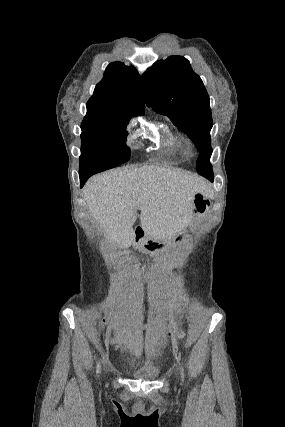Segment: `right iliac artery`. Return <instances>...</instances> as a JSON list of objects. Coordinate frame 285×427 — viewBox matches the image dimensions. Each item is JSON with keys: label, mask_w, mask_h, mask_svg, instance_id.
Returning a JSON list of instances; mask_svg holds the SVG:
<instances>
[{"label": "right iliac artery", "mask_w": 285, "mask_h": 427, "mask_svg": "<svg viewBox=\"0 0 285 427\" xmlns=\"http://www.w3.org/2000/svg\"><path fill=\"white\" fill-rule=\"evenodd\" d=\"M100 372V363L97 364V374Z\"/></svg>", "instance_id": "obj_1"}]
</instances>
